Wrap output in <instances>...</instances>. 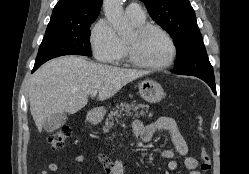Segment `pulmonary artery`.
<instances>
[{
	"mask_svg": "<svg viewBox=\"0 0 249 174\" xmlns=\"http://www.w3.org/2000/svg\"><path fill=\"white\" fill-rule=\"evenodd\" d=\"M126 13L129 17L132 18H142L145 17L144 11L141 5L137 2L130 3L126 7Z\"/></svg>",
	"mask_w": 249,
	"mask_h": 174,
	"instance_id": "1",
	"label": "pulmonary artery"
}]
</instances>
